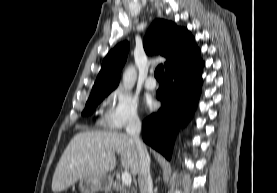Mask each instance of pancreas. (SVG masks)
Masks as SVG:
<instances>
[{
  "label": "pancreas",
  "instance_id": "cf45deb5",
  "mask_svg": "<svg viewBox=\"0 0 277 193\" xmlns=\"http://www.w3.org/2000/svg\"><path fill=\"white\" fill-rule=\"evenodd\" d=\"M113 191H117L119 193H136L134 188H130L127 185L121 184L119 181H115L113 183Z\"/></svg>",
  "mask_w": 277,
  "mask_h": 193
}]
</instances>
